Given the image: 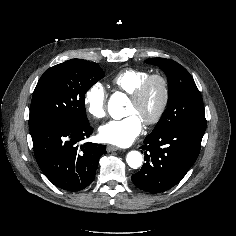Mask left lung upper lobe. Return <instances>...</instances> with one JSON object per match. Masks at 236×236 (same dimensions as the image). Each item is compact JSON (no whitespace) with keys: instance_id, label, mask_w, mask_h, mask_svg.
<instances>
[{"instance_id":"obj_1","label":"left lung upper lobe","mask_w":236,"mask_h":236,"mask_svg":"<svg viewBox=\"0 0 236 236\" xmlns=\"http://www.w3.org/2000/svg\"><path fill=\"white\" fill-rule=\"evenodd\" d=\"M146 63L159 66L168 77V107L152 133L176 127L205 130L203 100L189 72L177 62L165 58L147 59Z\"/></svg>"}]
</instances>
